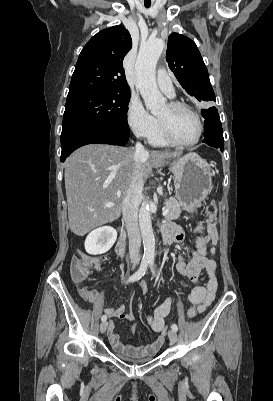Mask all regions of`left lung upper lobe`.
I'll use <instances>...</instances> for the list:
<instances>
[{"label": "left lung upper lobe", "instance_id": "obj_1", "mask_svg": "<svg viewBox=\"0 0 273 401\" xmlns=\"http://www.w3.org/2000/svg\"><path fill=\"white\" fill-rule=\"evenodd\" d=\"M166 61L189 95L198 101H215L206 65L191 39L172 33L168 38Z\"/></svg>", "mask_w": 273, "mask_h": 401}]
</instances>
